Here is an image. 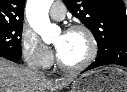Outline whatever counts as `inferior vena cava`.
Returning <instances> with one entry per match:
<instances>
[{
    "instance_id": "obj_1",
    "label": "inferior vena cava",
    "mask_w": 127,
    "mask_h": 92,
    "mask_svg": "<svg viewBox=\"0 0 127 92\" xmlns=\"http://www.w3.org/2000/svg\"><path fill=\"white\" fill-rule=\"evenodd\" d=\"M34 72H36L40 77H45V74L43 71H39L36 67H31Z\"/></svg>"
}]
</instances>
